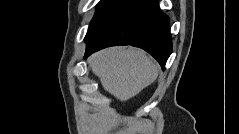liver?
<instances>
[{
    "instance_id": "6515ba94",
    "label": "liver",
    "mask_w": 239,
    "mask_h": 134,
    "mask_svg": "<svg viewBox=\"0 0 239 134\" xmlns=\"http://www.w3.org/2000/svg\"><path fill=\"white\" fill-rule=\"evenodd\" d=\"M89 64L103 88L120 101L136 96L159 73L154 60L136 48H106L93 54Z\"/></svg>"
}]
</instances>
